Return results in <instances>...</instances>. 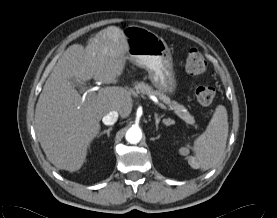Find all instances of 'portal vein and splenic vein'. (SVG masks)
Masks as SVG:
<instances>
[{
	"label": "portal vein and splenic vein",
	"instance_id": "1",
	"mask_svg": "<svg viewBox=\"0 0 277 218\" xmlns=\"http://www.w3.org/2000/svg\"><path fill=\"white\" fill-rule=\"evenodd\" d=\"M95 96H96V93L91 92V93H89V94L87 95V98L92 99V98H95ZM152 99H153V100L156 102V104H157L160 108H162L163 110H169V108H168L166 105L160 103V102L157 101L154 97H153Z\"/></svg>",
	"mask_w": 277,
	"mask_h": 218
}]
</instances>
